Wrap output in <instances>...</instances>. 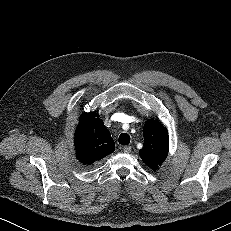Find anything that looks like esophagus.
<instances>
[{"instance_id": "1", "label": "esophagus", "mask_w": 231, "mask_h": 231, "mask_svg": "<svg viewBox=\"0 0 231 231\" xmlns=\"http://www.w3.org/2000/svg\"><path fill=\"white\" fill-rule=\"evenodd\" d=\"M131 150H132V148H131V146H124L123 147V151H124V153H130L131 152Z\"/></svg>"}]
</instances>
